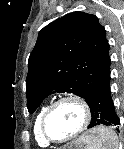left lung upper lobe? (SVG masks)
<instances>
[{
  "mask_svg": "<svg viewBox=\"0 0 124 149\" xmlns=\"http://www.w3.org/2000/svg\"><path fill=\"white\" fill-rule=\"evenodd\" d=\"M110 76L106 31L96 16L73 12L40 30L28 61L27 108L33 113L51 93L81 98Z\"/></svg>",
  "mask_w": 124,
  "mask_h": 149,
  "instance_id": "1",
  "label": "left lung upper lobe"
}]
</instances>
